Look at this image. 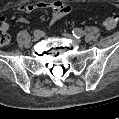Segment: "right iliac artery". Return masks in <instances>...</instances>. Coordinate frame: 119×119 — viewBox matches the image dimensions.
I'll list each match as a JSON object with an SVG mask.
<instances>
[{
    "label": "right iliac artery",
    "mask_w": 119,
    "mask_h": 119,
    "mask_svg": "<svg viewBox=\"0 0 119 119\" xmlns=\"http://www.w3.org/2000/svg\"><path fill=\"white\" fill-rule=\"evenodd\" d=\"M34 35L35 36H40L41 35V30L40 29H35L34 30Z\"/></svg>",
    "instance_id": "1"
}]
</instances>
